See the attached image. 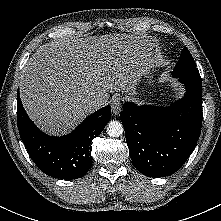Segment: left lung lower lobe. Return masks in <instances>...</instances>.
<instances>
[{
	"label": "left lung lower lobe",
	"mask_w": 221,
	"mask_h": 221,
	"mask_svg": "<svg viewBox=\"0 0 221 221\" xmlns=\"http://www.w3.org/2000/svg\"><path fill=\"white\" fill-rule=\"evenodd\" d=\"M186 94L170 107L126 102L120 119L134 167L148 177L175 173L191 155L202 127L201 77H180Z\"/></svg>",
	"instance_id": "0a47b994"
}]
</instances>
